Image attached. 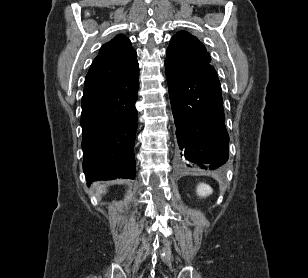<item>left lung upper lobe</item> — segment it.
I'll use <instances>...</instances> for the list:
<instances>
[{"instance_id":"left-lung-upper-lobe-1","label":"left lung upper lobe","mask_w":308,"mask_h":278,"mask_svg":"<svg viewBox=\"0 0 308 278\" xmlns=\"http://www.w3.org/2000/svg\"><path fill=\"white\" fill-rule=\"evenodd\" d=\"M205 46L186 31L175 34L166 51L165 68L178 71L192 70L210 64Z\"/></svg>"}]
</instances>
